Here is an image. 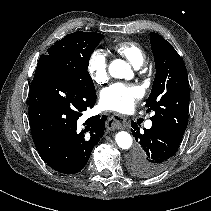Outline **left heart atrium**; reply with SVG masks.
Here are the masks:
<instances>
[{
	"label": "left heart atrium",
	"instance_id": "left-heart-atrium-1",
	"mask_svg": "<svg viewBox=\"0 0 211 211\" xmlns=\"http://www.w3.org/2000/svg\"><path fill=\"white\" fill-rule=\"evenodd\" d=\"M142 97L140 87L131 84L114 83L103 89L100 95L101 106L110 111L127 112Z\"/></svg>",
	"mask_w": 211,
	"mask_h": 211
}]
</instances>
